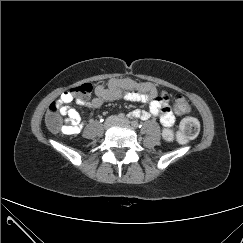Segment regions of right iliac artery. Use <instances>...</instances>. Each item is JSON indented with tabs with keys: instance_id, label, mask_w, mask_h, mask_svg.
Returning a JSON list of instances; mask_svg holds the SVG:
<instances>
[{
	"instance_id": "82829eb1",
	"label": "right iliac artery",
	"mask_w": 243,
	"mask_h": 243,
	"mask_svg": "<svg viewBox=\"0 0 243 243\" xmlns=\"http://www.w3.org/2000/svg\"><path fill=\"white\" fill-rule=\"evenodd\" d=\"M118 119H124L125 115L123 113H119L117 116Z\"/></svg>"
}]
</instances>
